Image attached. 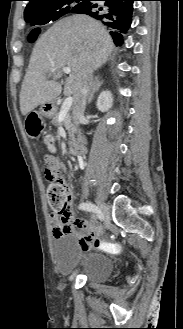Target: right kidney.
Returning a JSON list of instances; mask_svg holds the SVG:
<instances>
[{"label": "right kidney", "instance_id": "right-kidney-1", "mask_svg": "<svg viewBox=\"0 0 183 329\" xmlns=\"http://www.w3.org/2000/svg\"><path fill=\"white\" fill-rule=\"evenodd\" d=\"M113 104V97L110 91H102L98 96L96 106L99 111L107 112Z\"/></svg>", "mask_w": 183, "mask_h": 329}]
</instances>
